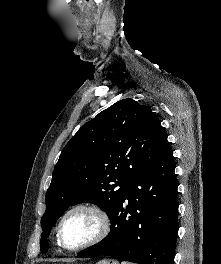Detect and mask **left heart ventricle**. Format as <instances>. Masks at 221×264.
Instances as JSON below:
<instances>
[{
    "label": "left heart ventricle",
    "mask_w": 221,
    "mask_h": 264,
    "mask_svg": "<svg viewBox=\"0 0 221 264\" xmlns=\"http://www.w3.org/2000/svg\"><path fill=\"white\" fill-rule=\"evenodd\" d=\"M97 218L86 211L71 214L63 224L62 237L69 247H76L92 239L98 231Z\"/></svg>",
    "instance_id": "obj_1"
}]
</instances>
